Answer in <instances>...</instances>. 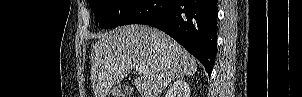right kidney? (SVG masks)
Instances as JSON below:
<instances>
[{
	"mask_svg": "<svg viewBox=\"0 0 302 97\" xmlns=\"http://www.w3.org/2000/svg\"><path fill=\"white\" fill-rule=\"evenodd\" d=\"M177 93L182 94L184 97H189L190 96V87H189L188 83L182 79L177 80L171 87L169 96L173 97Z\"/></svg>",
	"mask_w": 302,
	"mask_h": 97,
	"instance_id": "ca27d5eb",
	"label": "right kidney"
}]
</instances>
